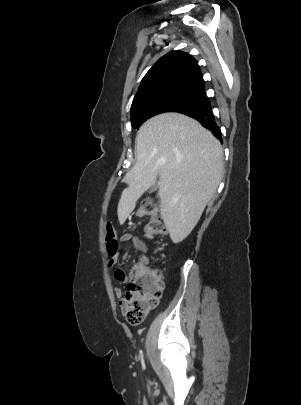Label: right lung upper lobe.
<instances>
[{"mask_svg":"<svg viewBox=\"0 0 301 405\" xmlns=\"http://www.w3.org/2000/svg\"><path fill=\"white\" fill-rule=\"evenodd\" d=\"M175 88H189L205 93L197 61L181 51L167 53L151 67L142 79L131 107L146 96Z\"/></svg>","mask_w":301,"mask_h":405,"instance_id":"1","label":"right lung upper lobe"}]
</instances>
